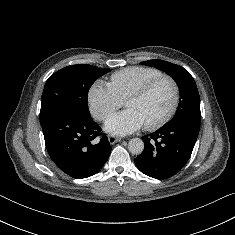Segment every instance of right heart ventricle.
<instances>
[{
  "instance_id": "e07e8e85",
  "label": "right heart ventricle",
  "mask_w": 235,
  "mask_h": 235,
  "mask_svg": "<svg viewBox=\"0 0 235 235\" xmlns=\"http://www.w3.org/2000/svg\"><path fill=\"white\" fill-rule=\"evenodd\" d=\"M160 75L162 73L155 68L128 67L112 74L109 85L118 97L125 101L131 93Z\"/></svg>"
}]
</instances>
